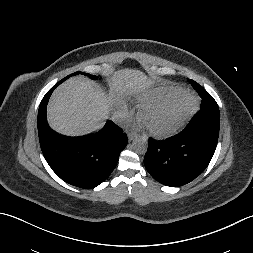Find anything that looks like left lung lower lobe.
I'll list each match as a JSON object with an SVG mask.
<instances>
[{"instance_id":"1","label":"left lung lower lobe","mask_w":253,"mask_h":253,"mask_svg":"<svg viewBox=\"0 0 253 253\" xmlns=\"http://www.w3.org/2000/svg\"><path fill=\"white\" fill-rule=\"evenodd\" d=\"M220 112L201 108L179 134L157 141L149 138L144 165L161 184L178 187L208 166L218 142Z\"/></svg>"}]
</instances>
